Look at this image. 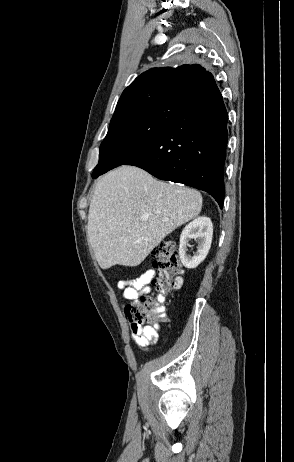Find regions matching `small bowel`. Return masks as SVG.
Instances as JSON below:
<instances>
[{
	"mask_svg": "<svg viewBox=\"0 0 294 462\" xmlns=\"http://www.w3.org/2000/svg\"><path fill=\"white\" fill-rule=\"evenodd\" d=\"M154 277V270H146L137 278L119 281L117 283V288L122 291V297L129 303L137 300L139 296L148 295L151 292L150 283ZM128 303L124 305L126 314L125 307ZM159 332V324H153L151 326H142L134 322L130 324L131 339L142 349L147 350L149 345L157 342Z\"/></svg>",
	"mask_w": 294,
	"mask_h": 462,
	"instance_id": "c3829d8e",
	"label": "small bowel"
}]
</instances>
